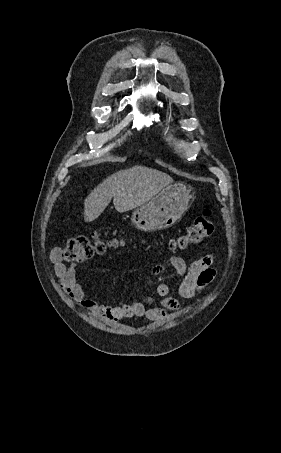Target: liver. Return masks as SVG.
I'll return each mask as SVG.
<instances>
[{"label":"liver","instance_id":"obj_1","mask_svg":"<svg viewBox=\"0 0 281 453\" xmlns=\"http://www.w3.org/2000/svg\"><path fill=\"white\" fill-rule=\"evenodd\" d=\"M173 178L149 166H131L107 176L95 186L84 200V220L91 222L98 218L108 206L112 196L116 210L126 212L141 206L155 196L159 190L171 184Z\"/></svg>","mask_w":281,"mask_h":453}]
</instances>
